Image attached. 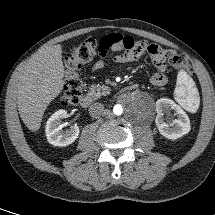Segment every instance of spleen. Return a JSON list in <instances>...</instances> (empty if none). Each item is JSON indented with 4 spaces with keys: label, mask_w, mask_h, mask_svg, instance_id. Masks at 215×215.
<instances>
[{
    "label": "spleen",
    "mask_w": 215,
    "mask_h": 215,
    "mask_svg": "<svg viewBox=\"0 0 215 215\" xmlns=\"http://www.w3.org/2000/svg\"><path fill=\"white\" fill-rule=\"evenodd\" d=\"M175 98L185 109L189 111L197 109L199 103L197 89L193 80L184 72H181L178 77Z\"/></svg>",
    "instance_id": "spleen-1"
}]
</instances>
